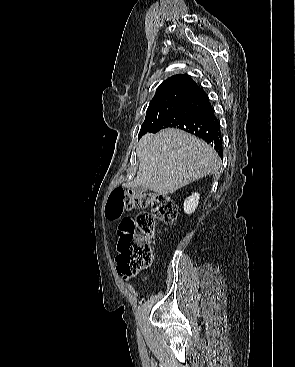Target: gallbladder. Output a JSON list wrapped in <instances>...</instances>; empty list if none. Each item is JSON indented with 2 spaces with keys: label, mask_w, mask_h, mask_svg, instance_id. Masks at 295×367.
<instances>
[{
  "label": "gallbladder",
  "mask_w": 295,
  "mask_h": 367,
  "mask_svg": "<svg viewBox=\"0 0 295 367\" xmlns=\"http://www.w3.org/2000/svg\"><path fill=\"white\" fill-rule=\"evenodd\" d=\"M146 191V189L143 187V186H136L135 188H134V193L136 194V195H141L143 192H145Z\"/></svg>",
  "instance_id": "bac80fb5"
}]
</instances>
